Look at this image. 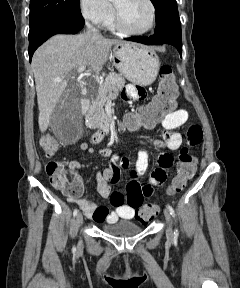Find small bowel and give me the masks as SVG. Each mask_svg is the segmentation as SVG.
<instances>
[{"mask_svg":"<svg viewBox=\"0 0 240 288\" xmlns=\"http://www.w3.org/2000/svg\"><path fill=\"white\" fill-rule=\"evenodd\" d=\"M145 97L146 90L140 86L128 85L122 91V98L126 103L143 100ZM188 118L189 112L186 109H178L167 114L161 120V139L154 140V146L177 150L183 143V137L177 129L185 125ZM201 139V126L197 124L191 125L186 133V144L194 146L198 144ZM78 150L81 152L87 151L88 153L94 152L93 148L85 142L79 145ZM100 154L109 157L112 155V151L109 148H103L100 150ZM157 159L159 166L152 171L148 182L140 183L138 179L145 174L148 168L149 154L146 150H141L138 153V157L130 172L131 180L127 184L126 195L129 191L136 190L142 198L149 197L153 192V186H160L166 181L168 170L172 165V157L166 152H160ZM130 167L131 162L128 158L114 156L113 161L107 168L96 173L98 192L102 197L110 198L111 204L115 208L113 211L110 212L107 207L98 206L90 199H79V195L69 196V200L78 204L85 215L97 223H111L118 219H132L135 216V209L125 203V193L122 190H112V185L117 183L120 178L121 170H126ZM80 169V162L72 160L68 163L69 172L81 180L77 173Z\"/></svg>","mask_w":240,"mask_h":288,"instance_id":"1","label":"small bowel"}]
</instances>
